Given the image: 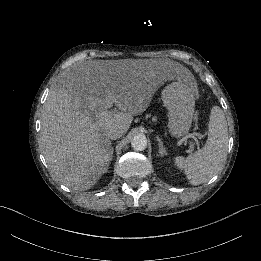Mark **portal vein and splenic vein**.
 <instances>
[{
    "mask_svg": "<svg viewBox=\"0 0 261 261\" xmlns=\"http://www.w3.org/2000/svg\"><path fill=\"white\" fill-rule=\"evenodd\" d=\"M208 135H209L208 131H203L202 133H189L186 137H184L183 139L177 141L176 145L177 146H182L187 141H195L196 148L200 149L201 148V141H200V139H204ZM192 151H193V146H191L190 149H189V152H192Z\"/></svg>",
    "mask_w": 261,
    "mask_h": 261,
    "instance_id": "portal-vein-and-splenic-vein-1",
    "label": "portal vein and splenic vein"
}]
</instances>
